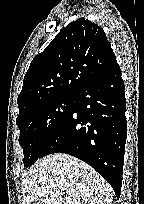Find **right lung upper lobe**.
Masks as SVG:
<instances>
[{
  "instance_id": "cb5924a9",
  "label": "right lung upper lobe",
  "mask_w": 144,
  "mask_h": 204,
  "mask_svg": "<svg viewBox=\"0 0 144 204\" xmlns=\"http://www.w3.org/2000/svg\"><path fill=\"white\" fill-rule=\"evenodd\" d=\"M116 63L101 27L85 18L71 22L33 58L17 99L19 115L53 97L76 96Z\"/></svg>"
}]
</instances>
